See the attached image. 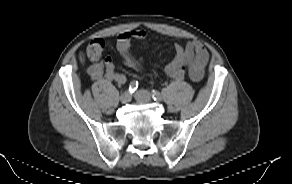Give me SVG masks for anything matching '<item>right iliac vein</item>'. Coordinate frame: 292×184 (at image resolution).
Returning a JSON list of instances; mask_svg holds the SVG:
<instances>
[{
    "instance_id": "right-iliac-vein-1",
    "label": "right iliac vein",
    "mask_w": 292,
    "mask_h": 184,
    "mask_svg": "<svg viewBox=\"0 0 292 184\" xmlns=\"http://www.w3.org/2000/svg\"><path fill=\"white\" fill-rule=\"evenodd\" d=\"M120 101H121V103H123V104H126V103L130 102V101H131V94H130L128 91L124 92V93L120 96Z\"/></svg>"
}]
</instances>
